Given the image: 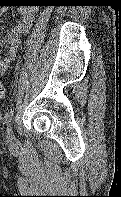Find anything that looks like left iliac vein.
I'll use <instances>...</instances> for the list:
<instances>
[{"label":"left iliac vein","instance_id":"4c4485c4","mask_svg":"<svg viewBox=\"0 0 121 197\" xmlns=\"http://www.w3.org/2000/svg\"><path fill=\"white\" fill-rule=\"evenodd\" d=\"M6 138L9 144H15L16 138L11 125H9L7 128Z\"/></svg>","mask_w":121,"mask_h":197}]
</instances>
